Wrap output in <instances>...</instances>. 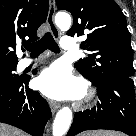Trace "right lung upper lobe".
<instances>
[{
    "mask_svg": "<svg viewBox=\"0 0 136 136\" xmlns=\"http://www.w3.org/2000/svg\"><path fill=\"white\" fill-rule=\"evenodd\" d=\"M48 0H0V64L18 63L15 50L20 40L36 41L46 21Z\"/></svg>",
    "mask_w": 136,
    "mask_h": 136,
    "instance_id": "cb5924a9",
    "label": "right lung upper lobe"
}]
</instances>
